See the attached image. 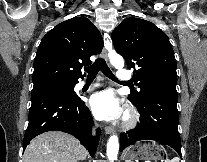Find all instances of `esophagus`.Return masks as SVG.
<instances>
[{"instance_id": "obj_1", "label": "esophagus", "mask_w": 207, "mask_h": 162, "mask_svg": "<svg viewBox=\"0 0 207 162\" xmlns=\"http://www.w3.org/2000/svg\"><path fill=\"white\" fill-rule=\"evenodd\" d=\"M111 48H112L111 37L109 35H106L104 37V48H103V51H102V55L106 60H108V52H109V49H111ZM105 132H106V134H112L113 129L111 127L106 126L105 127Z\"/></svg>"}]
</instances>
